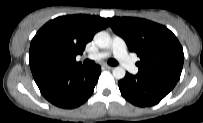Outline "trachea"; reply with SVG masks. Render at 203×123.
Here are the masks:
<instances>
[{
    "label": "trachea",
    "instance_id": "3493384b",
    "mask_svg": "<svg viewBox=\"0 0 203 123\" xmlns=\"http://www.w3.org/2000/svg\"><path fill=\"white\" fill-rule=\"evenodd\" d=\"M94 64H95L94 61H90V60H85L84 61V65L87 66V67L93 66ZM108 64L111 65V66H117L118 62L116 60H114V59H109Z\"/></svg>",
    "mask_w": 203,
    "mask_h": 123
}]
</instances>
